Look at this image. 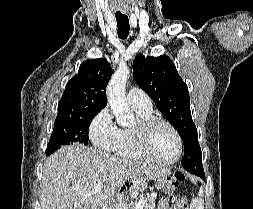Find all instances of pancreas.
<instances>
[{
    "mask_svg": "<svg viewBox=\"0 0 253 209\" xmlns=\"http://www.w3.org/2000/svg\"><path fill=\"white\" fill-rule=\"evenodd\" d=\"M143 200L144 201V205H143V209H154L155 208V200H156V196L152 195V194H147L146 196L141 195L139 196V201ZM137 204V201H135L131 206V209H135V205Z\"/></svg>",
    "mask_w": 253,
    "mask_h": 209,
    "instance_id": "pancreas-1",
    "label": "pancreas"
}]
</instances>
